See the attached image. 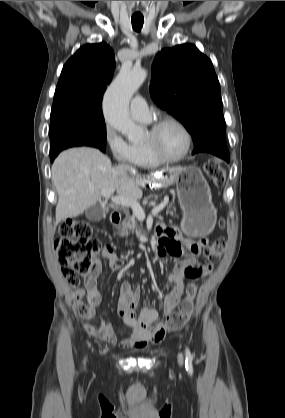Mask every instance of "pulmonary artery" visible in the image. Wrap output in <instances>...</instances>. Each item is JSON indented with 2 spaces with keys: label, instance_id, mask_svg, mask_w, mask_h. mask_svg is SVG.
<instances>
[{
  "label": "pulmonary artery",
  "instance_id": "obj_1",
  "mask_svg": "<svg viewBox=\"0 0 285 418\" xmlns=\"http://www.w3.org/2000/svg\"><path fill=\"white\" fill-rule=\"evenodd\" d=\"M130 114L136 120L149 121L150 111L146 101L139 96L134 97L130 103Z\"/></svg>",
  "mask_w": 285,
  "mask_h": 418
}]
</instances>
